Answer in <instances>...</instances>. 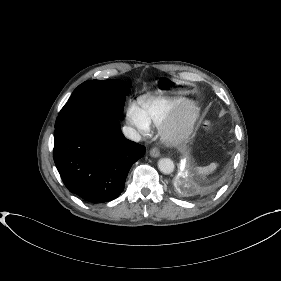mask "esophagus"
<instances>
[{"instance_id": "1", "label": "esophagus", "mask_w": 281, "mask_h": 281, "mask_svg": "<svg viewBox=\"0 0 281 281\" xmlns=\"http://www.w3.org/2000/svg\"><path fill=\"white\" fill-rule=\"evenodd\" d=\"M150 155L154 158H157L160 156V150L157 148V147H153L151 150H150Z\"/></svg>"}]
</instances>
